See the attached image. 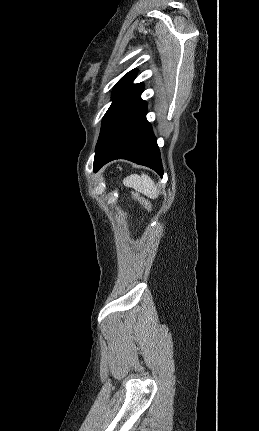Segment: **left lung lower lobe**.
I'll return each instance as SVG.
<instances>
[{
  "mask_svg": "<svg viewBox=\"0 0 259 431\" xmlns=\"http://www.w3.org/2000/svg\"><path fill=\"white\" fill-rule=\"evenodd\" d=\"M146 113L147 103L144 101L115 127L95 152L94 172L114 159H126L163 176L160 151Z\"/></svg>",
  "mask_w": 259,
  "mask_h": 431,
  "instance_id": "obj_1",
  "label": "left lung lower lobe"
}]
</instances>
